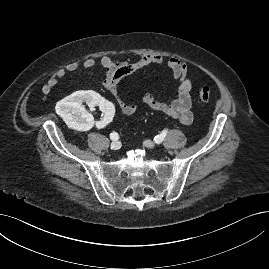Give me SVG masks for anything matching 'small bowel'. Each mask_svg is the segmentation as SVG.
I'll return each mask as SVG.
<instances>
[{
	"label": "small bowel",
	"instance_id": "small-bowel-1",
	"mask_svg": "<svg viewBox=\"0 0 269 269\" xmlns=\"http://www.w3.org/2000/svg\"><path fill=\"white\" fill-rule=\"evenodd\" d=\"M166 63L172 74L173 81L177 84V94L169 102L158 100L151 93L142 94L140 100L146 107L161 112L184 125L191 124L193 113L191 111L193 88L192 80L189 76L188 63L181 58H165L158 54L141 53L125 61H115L109 56H102L98 61L94 59H83L70 62L56 70L42 86V93L48 95L58 82L68 73L79 69H92L100 65L104 71L103 86L115 97L120 111L125 115H133L138 111V105L123 100L118 91L120 79L149 65H161Z\"/></svg>",
	"mask_w": 269,
	"mask_h": 269
}]
</instances>
